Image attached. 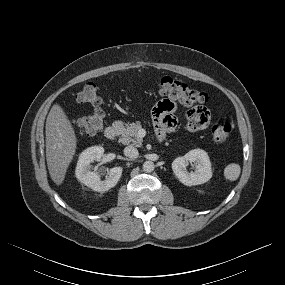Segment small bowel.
I'll return each instance as SVG.
<instances>
[{
	"label": "small bowel",
	"mask_w": 285,
	"mask_h": 285,
	"mask_svg": "<svg viewBox=\"0 0 285 285\" xmlns=\"http://www.w3.org/2000/svg\"><path fill=\"white\" fill-rule=\"evenodd\" d=\"M180 107L177 98L166 95L152 111V119L155 129L159 135H164L173 131L176 127V120L173 112ZM187 128L189 131H201L209 125L210 113L206 108L194 107L186 114Z\"/></svg>",
	"instance_id": "small-bowel-1"
}]
</instances>
